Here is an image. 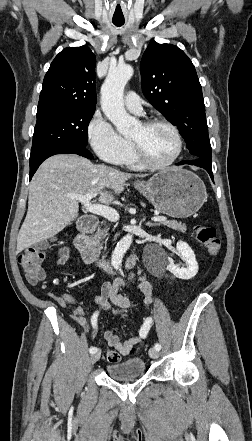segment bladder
Listing matches in <instances>:
<instances>
[{"mask_svg":"<svg viewBox=\"0 0 252 441\" xmlns=\"http://www.w3.org/2000/svg\"><path fill=\"white\" fill-rule=\"evenodd\" d=\"M145 371V362L142 358H132L119 363H110L106 366L107 375L114 380L130 381L141 377Z\"/></svg>","mask_w":252,"mask_h":441,"instance_id":"bladder-1","label":"bladder"}]
</instances>
